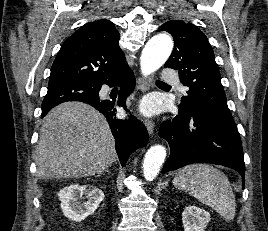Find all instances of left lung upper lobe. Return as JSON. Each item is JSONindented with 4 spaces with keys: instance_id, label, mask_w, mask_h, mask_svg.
I'll return each mask as SVG.
<instances>
[{
    "instance_id": "1",
    "label": "left lung upper lobe",
    "mask_w": 268,
    "mask_h": 231,
    "mask_svg": "<svg viewBox=\"0 0 268 231\" xmlns=\"http://www.w3.org/2000/svg\"><path fill=\"white\" fill-rule=\"evenodd\" d=\"M157 31L173 36L175 46L165 67L179 70L180 81L189 87L179 110L212 115L236 126L227 106L213 50L204 33L180 20L168 21Z\"/></svg>"
}]
</instances>
